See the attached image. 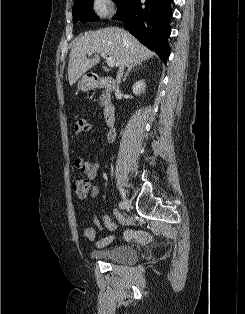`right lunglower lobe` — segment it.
Masks as SVG:
<instances>
[{"mask_svg": "<svg viewBox=\"0 0 245 314\" xmlns=\"http://www.w3.org/2000/svg\"><path fill=\"white\" fill-rule=\"evenodd\" d=\"M172 1L146 0L141 3L140 0H129L113 19L123 21L131 34L166 62L170 54L167 38L171 33Z\"/></svg>", "mask_w": 245, "mask_h": 314, "instance_id": "98d812e1", "label": "right lung lower lobe"}]
</instances>
